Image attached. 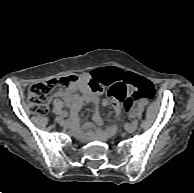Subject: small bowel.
Wrapping results in <instances>:
<instances>
[{"label": "small bowel", "mask_w": 194, "mask_h": 193, "mask_svg": "<svg viewBox=\"0 0 194 193\" xmlns=\"http://www.w3.org/2000/svg\"><path fill=\"white\" fill-rule=\"evenodd\" d=\"M126 73L116 67L96 68L89 72L83 73L79 78L76 86L69 90H60L56 93L58 98L63 99L73 114H77L81 107L85 104H91L94 107L93 110V121L96 125H102L103 120L99 112L100 106H106L107 102L102 101L99 103L98 98L94 95L91 90V83L96 82L97 84H104L113 79H121ZM129 94H136L137 92L145 91L138 85H127ZM115 110L117 113L120 112V106L116 105ZM92 124L85 125L84 129L92 128ZM75 129L81 133L77 126ZM116 131V125L110 124L105 126L100 132L99 136L102 139L110 138Z\"/></svg>", "instance_id": "c3829d8e"}]
</instances>
